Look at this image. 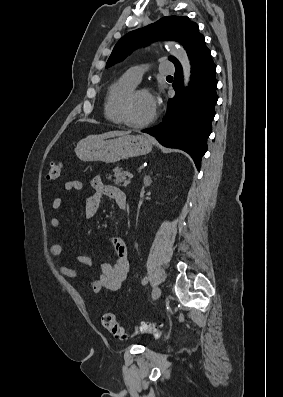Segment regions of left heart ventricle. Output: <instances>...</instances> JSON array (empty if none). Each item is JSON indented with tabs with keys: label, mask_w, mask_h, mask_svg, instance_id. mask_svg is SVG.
<instances>
[{
	"label": "left heart ventricle",
	"mask_w": 283,
	"mask_h": 397,
	"mask_svg": "<svg viewBox=\"0 0 283 397\" xmlns=\"http://www.w3.org/2000/svg\"><path fill=\"white\" fill-rule=\"evenodd\" d=\"M153 99L146 93L137 94L129 107V117L134 122H143L154 114Z\"/></svg>",
	"instance_id": "b2bd125f"
}]
</instances>
